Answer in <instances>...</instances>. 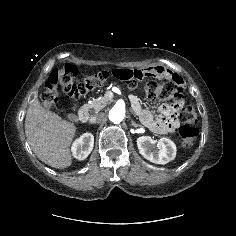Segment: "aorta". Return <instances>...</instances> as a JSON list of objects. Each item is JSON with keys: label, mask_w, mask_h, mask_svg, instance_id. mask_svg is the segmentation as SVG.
Masks as SVG:
<instances>
[{"label": "aorta", "mask_w": 236, "mask_h": 236, "mask_svg": "<svg viewBox=\"0 0 236 236\" xmlns=\"http://www.w3.org/2000/svg\"><path fill=\"white\" fill-rule=\"evenodd\" d=\"M109 120L114 124H119L125 117V108L121 105H115L109 111Z\"/></svg>", "instance_id": "762f6f07"}]
</instances>
